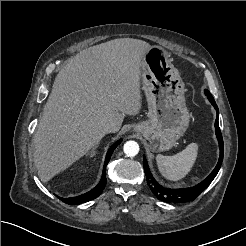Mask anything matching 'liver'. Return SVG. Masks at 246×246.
Masks as SVG:
<instances>
[{"instance_id":"6515ba94","label":"liver","mask_w":246,"mask_h":246,"mask_svg":"<svg viewBox=\"0 0 246 246\" xmlns=\"http://www.w3.org/2000/svg\"><path fill=\"white\" fill-rule=\"evenodd\" d=\"M151 47L138 39H114L82 50L59 71L33 137L42 182L99 143L104 123L119 131L126 115L139 113L143 56Z\"/></svg>"}]
</instances>
